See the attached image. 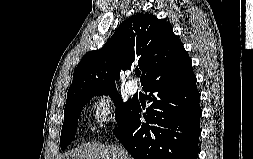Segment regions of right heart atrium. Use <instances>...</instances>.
<instances>
[{
  "label": "right heart atrium",
  "mask_w": 253,
  "mask_h": 159,
  "mask_svg": "<svg viewBox=\"0 0 253 159\" xmlns=\"http://www.w3.org/2000/svg\"><path fill=\"white\" fill-rule=\"evenodd\" d=\"M92 118L100 131H106L115 122V112L112 101L107 96L95 98L90 106Z\"/></svg>",
  "instance_id": "right-heart-atrium-1"
}]
</instances>
